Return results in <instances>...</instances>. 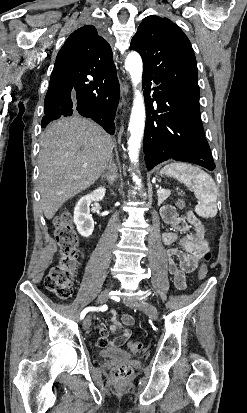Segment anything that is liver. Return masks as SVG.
Listing matches in <instances>:
<instances>
[{
	"instance_id": "6515ba94",
	"label": "liver",
	"mask_w": 247,
	"mask_h": 413,
	"mask_svg": "<svg viewBox=\"0 0 247 413\" xmlns=\"http://www.w3.org/2000/svg\"><path fill=\"white\" fill-rule=\"evenodd\" d=\"M40 144L39 192L50 221L65 200L101 176L112 160L114 140L97 122L73 114L50 122Z\"/></svg>"
}]
</instances>
